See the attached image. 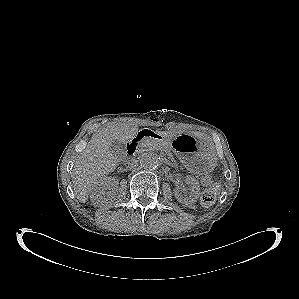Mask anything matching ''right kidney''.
I'll return each instance as SVG.
<instances>
[{
	"mask_svg": "<svg viewBox=\"0 0 299 299\" xmlns=\"http://www.w3.org/2000/svg\"><path fill=\"white\" fill-rule=\"evenodd\" d=\"M118 184L119 181L115 178L104 176L99 179L90 191V199L93 205L98 207L105 205L107 200L113 198V192L117 189ZM107 190L111 191L106 192Z\"/></svg>",
	"mask_w": 299,
	"mask_h": 299,
	"instance_id": "ca27d5eb",
	"label": "right kidney"
}]
</instances>
